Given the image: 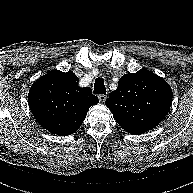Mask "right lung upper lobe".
<instances>
[{
    "label": "right lung upper lobe",
    "mask_w": 193,
    "mask_h": 193,
    "mask_svg": "<svg viewBox=\"0 0 193 193\" xmlns=\"http://www.w3.org/2000/svg\"><path fill=\"white\" fill-rule=\"evenodd\" d=\"M73 72L55 70L34 82L28 94L36 121L53 134H73L82 125L89 108L99 100L90 88L78 86Z\"/></svg>",
    "instance_id": "cb5924a9"
}]
</instances>
